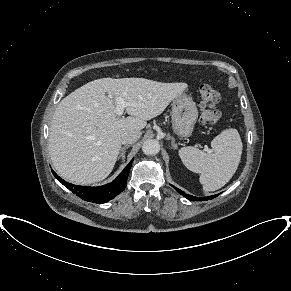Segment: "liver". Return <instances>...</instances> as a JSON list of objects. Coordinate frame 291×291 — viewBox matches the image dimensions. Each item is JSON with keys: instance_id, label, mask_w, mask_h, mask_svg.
Returning a JSON list of instances; mask_svg holds the SVG:
<instances>
[{"instance_id": "6515ba94", "label": "liver", "mask_w": 291, "mask_h": 291, "mask_svg": "<svg viewBox=\"0 0 291 291\" xmlns=\"http://www.w3.org/2000/svg\"><path fill=\"white\" fill-rule=\"evenodd\" d=\"M185 89L186 83L145 78H102L76 89L58 104L51 122L48 147L56 172L75 184L104 180L116 163L121 135L142 130ZM117 98L129 104L131 116L116 114Z\"/></svg>"}]
</instances>
